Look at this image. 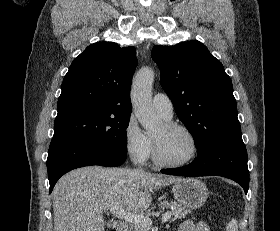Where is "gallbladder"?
I'll return each mask as SVG.
<instances>
[{
    "mask_svg": "<svg viewBox=\"0 0 280 231\" xmlns=\"http://www.w3.org/2000/svg\"><path fill=\"white\" fill-rule=\"evenodd\" d=\"M107 227H117V221H106Z\"/></svg>",
    "mask_w": 280,
    "mask_h": 231,
    "instance_id": "bac80fb5",
    "label": "gallbladder"
}]
</instances>
